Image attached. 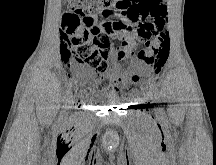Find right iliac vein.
<instances>
[{
  "label": "right iliac vein",
  "mask_w": 216,
  "mask_h": 165,
  "mask_svg": "<svg viewBox=\"0 0 216 165\" xmlns=\"http://www.w3.org/2000/svg\"><path fill=\"white\" fill-rule=\"evenodd\" d=\"M73 105L70 103L69 104V106H66V111H65V115H67L68 114V110H71V107H72Z\"/></svg>",
  "instance_id": "63e3f726"
}]
</instances>
